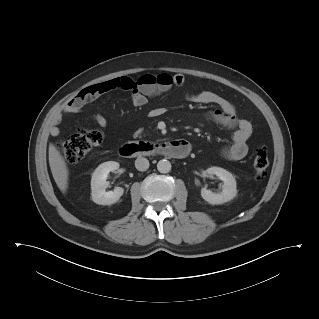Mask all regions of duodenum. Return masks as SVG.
Returning <instances> with one entry per match:
<instances>
[{
    "label": "duodenum",
    "instance_id": "1",
    "mask_svg": "<svg viewBox=\"0 0 319 319\" xmlns=\"http://www.w3.org/2000/svg\"><path fill=\"white\" fill-rule=\"evenodd\" d=\"M191 150L189 142L183 139L163 143L133 142L122 146L119 154L122 157L165 156L173 159H183Z\"/></svg>",
    "mask_w": 319,
    "mask_h": 319
}]
</instances>
